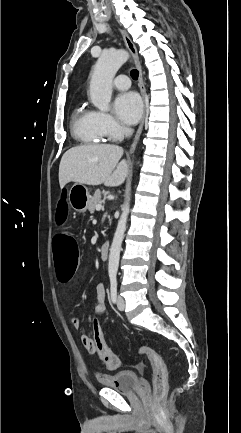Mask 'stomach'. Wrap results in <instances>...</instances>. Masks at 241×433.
I'll list each match as a JSON object with an SVG mask.
<instances>
[{"label":"stomach","mask_w":241,"mask_h":433,"mask_svg":"<svg viewBox=\"0 0 241 433\" xmlns=\"http://www.w3.org/2000/svg\"><path fill=\"white\" fill-rule=\"evenodd\" d=\"M88 189L82 184H74L68 192L70 206L79 213H84L90 200Z\"/></svg>","instance_id":"stomach-1"}]
</instances>
